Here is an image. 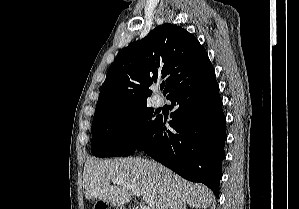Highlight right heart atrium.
I'll use <instances>...</instances> for the list:
<instances>
[{
	"label": "right heart atrium",
	"mask_w": 299,
	"mask_h": 209,
	"mask_svg": "<svg viewBox=\"0 0 299 209\" xmlns=\"http://www.w3.org/2000/svg\"><path fill=\"white\" fill-rule=\"evenodd\" d=\"M131 129H132L131 126L126 125V126L123 127V133L124 134H129L131 132Z\"/></svg>",
	"instance_id": "d8ad5b80"
}]
</instances>
